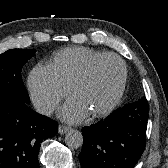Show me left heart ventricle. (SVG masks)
Masks as SVG:
<instances>
[{
  "label": "left heart ventricle",
  "mask_w": 168,
  "mask_h": 168,
  "mask_svg": "<svg viewBox=\"0 0 168 168\" xmlns=\"http://www.w3.org/2000/svg\"><path fill=\"white\" fill-rule=\"evenodd\" d=\"M120 64L114 59L101 62L94 70L92 77L74 94L92 113L106 106L113 98L120 79Z\"/></svg>",
  "instance_id": "b2bd125f"
}]
</instances>
